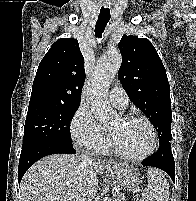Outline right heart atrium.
<instances>
[{
	"label": "right heart atrium",
	"instance_id": "1",
	"mask_svg": "<svg viewBox=\"0 0 196 201\" xmlns=\"http://www.w3.org/2000/svg\"><path fill=\"white\" fill-rule=\"evenodd\" d=\"M70 133L73 143L79 148L98 153L109 147V135L84 106H80L74 113L70 122Z\"/></svg>",
	"mask_w": 196,
	"mask_h": 201
}]
</instances>
